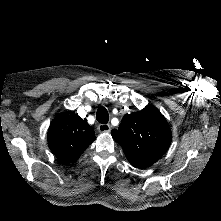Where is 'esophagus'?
<instances>
[{
    "label": "esophagus",
    "mask_w": 221,
    "mask_h": 221,
    "mask_svg": "<svg viewBox=\"0 0 221 221\" xmlns=\"http://www.w3.org/2000/svg\"><path fill=\"white\" fill-rule=\"evenodd\" d=\"M110 130H111V127L109 124H100L98 126V131L100 133H107V132H110Z\"/></svg>",
    "instance_id": "obj_1"
}]
</instances>
